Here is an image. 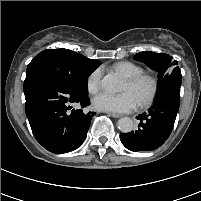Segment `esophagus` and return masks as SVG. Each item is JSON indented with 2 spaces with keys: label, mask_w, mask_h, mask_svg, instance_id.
<instances>
[{
  "label": "esophagus",
  "mask_w": 201,
  "mask_h": 201,
  "mask_svg": "<svg viewBox=\"0 0 201 201\" xmlns=\"http://www.w3.org/2000/svg\"><path fill=\"white\" fill-rule=\"evenodd\" d=\"M108 114V116H111V117H114V118H120L121 117V115L120 114H116V113H107Z\"/></svg>",
  "instance_id": "esophagus-1"
}]
</instances>
